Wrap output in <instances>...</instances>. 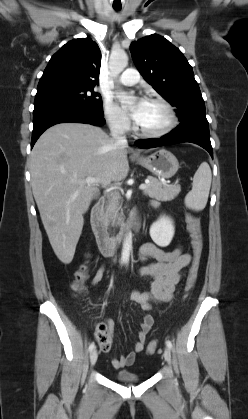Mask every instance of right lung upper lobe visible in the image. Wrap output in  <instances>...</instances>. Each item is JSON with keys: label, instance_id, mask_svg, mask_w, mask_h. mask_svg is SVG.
<instances>
[{"label": "right lung upper lobe", "instance_id": "cb5924a9", "mask_svg": "<svg viewBox=\"0 0 248 419\" xmlns=\"http://www.w3.org/2000/svg\"><path fill=\"white\" fill-rule=\"evenodd\" d=\"M100 65V49L90 38L69 41L50 59L37 91L62 87L94 88L98 84Z\"/></svg>", "mask_w": 248, "mask_h": 419}]
</instances>
